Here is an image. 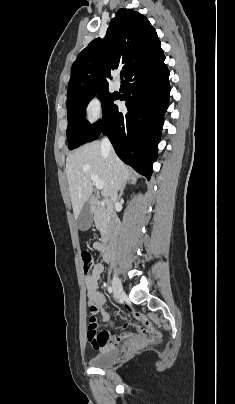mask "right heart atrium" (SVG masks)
Instances as JSON below:
<instances>
[{"instance_id": "1", "label": "right heart atrium", "mask_w": 235, "mask_h": 404, "mask_svg": "<svg viewBox=\"0 0 235 404\" xmlns=\"http://www.w3.org/2000/svg\"><path fill=\"white\" fill-rule=\"evenodd\" d=\"M84 115L90 125L100 122L104 115V103L99 96L91 97L85 104Z\"/></svg>"}]
</instances>
